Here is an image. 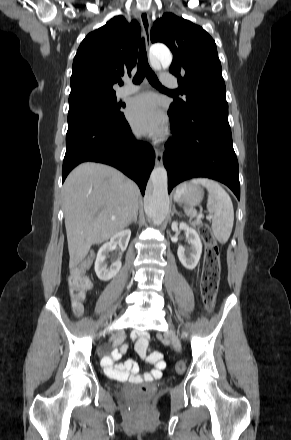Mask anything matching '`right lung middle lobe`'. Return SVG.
<instances>
[{
	"mask_svg": "<svg viewBox=\"0 0 291 440\" xmlns=\"http://www.w3.org/2000/svg\"><path fill=\"white\" fill-rule=\"evenodd\" d=\"M125 105L117 103L115 95L110 96H85L69 101L68 115L74 113H90L105 118L113 119L122 114L121 108Z\"/></svg>",
	"mask_w": 291,
	"mask_h": 440,
	"instance_id": "1",
	"label": "right lung middle lobe"
}]
</instances>
